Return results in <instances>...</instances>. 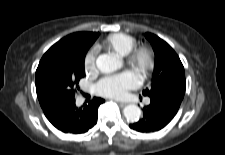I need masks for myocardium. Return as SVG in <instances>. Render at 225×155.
Here are the masks:
<instances>
[{
	"mask_svg": "<svg viewBox=\"0 0 225 155\" xmlns=\"http://www.w3.org/2000/svg\"><path fill=\"white\" fill-rule=\"evenodd\" d=\"M127 61L142 77H147L154 68L155 55L149 46L140 45L127 54Z\"/></svg>",
	"mask_w": 225,
	"mask_h": 155,
	"instance_id": "1",
	"label": "myocardium"
}]
</instances>
